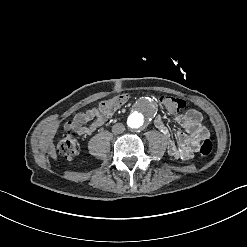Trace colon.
I'll return each mask as SVG.
<instances>
[{"mask_svg":"<svg viewBox=\"0 0 247 247\" xmlns=\"http://www.w3.org/2000/svg\"><path fill=\"white\" fill-rule=\"evenodd\" d=\"M128 99L127 92H115L114 96H105L104 100L100 102L102 108V114L104 116H112L114 109L118 105H124ZM163 105L166 109L175 112H180L186 105L185 101L177 99L175 97H168L163 99ZM214 149L212 140L209 138L203 141L199 146V153L201 156H209ZM58 150L60 154L66 158H73L78 153V140L74 133H66L62 136Z\"/></svg>","mask_w":247,"mask_h":247,"instance_id":"5ec220e1","label":"colon"}]
</instances>
